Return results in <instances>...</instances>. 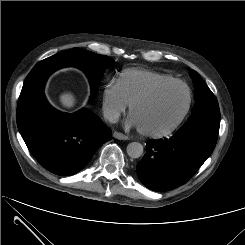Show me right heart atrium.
<instances>
[{"label": "right heart atrium", "instance_id": "1", "mask_svg": "<svg viewBox=\"0 0 245 245\" xmlns=\"http://www.w3.org/2000/svg\"><path fill=\"white\" fill-rule=\"evenodd\" d=\"M103 116L110 122H116L128 108L117 82H108L101 97Z\"/></svg>", "mask_w": 245, "mask_h": 245}]
</instances>
